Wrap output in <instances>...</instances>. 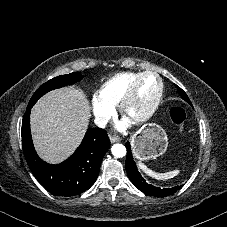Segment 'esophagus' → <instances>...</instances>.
Instances as JSON below:
<instances>
[{
    "label": "esophagus",
    "mask_w": 227,
    "mask_h": 227,
    "mask_svg": "<svg viewBox=\"0 0 227 227\" xmlns=\"http://www.w3.org/2000/svg\"><path fill=\"white\" fill-rule=\"evenodd\" d=\"M109 138L111 143L119 142L121 140L120 137L117 135H111Z\"/></svg>",
    "instance_id": "1"
}]
</instances>
